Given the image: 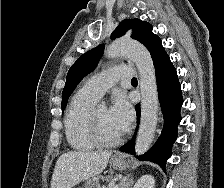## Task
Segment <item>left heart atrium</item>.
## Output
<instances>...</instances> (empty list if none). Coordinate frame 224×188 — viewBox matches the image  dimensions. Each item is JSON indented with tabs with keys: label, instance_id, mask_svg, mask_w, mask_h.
Instances as JSON below:
<instances>
[{
	"label": "left heart atrium",
	"instance_id": "39dd6f15",
	"mask_svg": "<svg viewBox=\"0 0 224 188\" xmlns=\"http://www.w3.org/2000/svg\"><path fill=\"white\" fill-rule=\"evenodd\" d=\"M109 114L121 133L125 132L129 128L134 117V112L130 103L122 94L115 98L109 109Z\"/></svg>",
	"mask_w": 224,
	"mask_h": 188
}]
</instances>
